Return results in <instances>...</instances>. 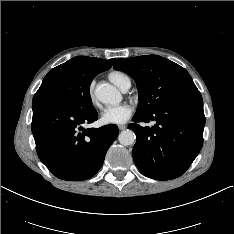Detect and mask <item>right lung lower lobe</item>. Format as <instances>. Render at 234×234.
I'll use <instances>...</instances> for the list:
<instances>
[{
  "instance_id": "obj_1",
  "label": "right lung lower lobe",
  "mask_w": 234,
  "mask_h": 234,
  "mask_svg": "<svg viewBox=\"0 0 234 234\" xmlns=\"http://www.w3.org/2000/svg\"><path fill=\"white\" fill-rule=\"evenodd\" d=\"M98 119L95 108L76 110L58 103L33 105L31 130L42 163L59 179L86 180L101 168L107 150L118 136L109 124L84 129Z\"/></svg>"
}]
</instances>
